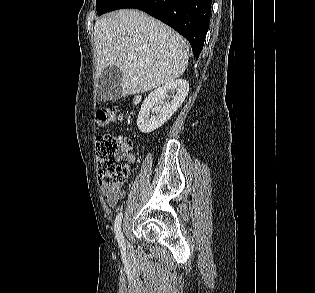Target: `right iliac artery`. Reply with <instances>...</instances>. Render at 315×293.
<instances>
[{"mask_svg":"<svg viewBox=\"0 0 315 293\" xmlns=\"http://www.w3.org/2000/svg\"><path fill=\"white\" fill-rule=\"evenodd\" d=\"M122 212H120L116 219H115V223H114V231H115V234H116V238L118 240V243L121 247H124V237H123V234H122V231H121V221H122Z\"/></svg>","mask_w":315,"mask_h":293,"instance_id":"obj_1","label":"right iliac artery"}]
</instances>
